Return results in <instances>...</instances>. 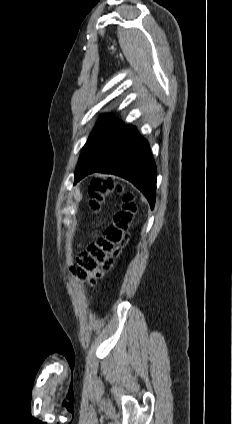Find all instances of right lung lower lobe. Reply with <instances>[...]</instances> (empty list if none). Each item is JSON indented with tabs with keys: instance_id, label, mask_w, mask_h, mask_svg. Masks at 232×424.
I'll return each instance as SVG.
<instances>
[{
	"instance_id": "right-lung-lower-lobe-1",
	"label": "right lung lower lobe",
	"mask_w": 232,
	"mask_h": 424,
	"mask_svg": "<svg viewBox=\"0 0 232 424\" xmlns=\"http://www.w3.org/2000/svg\"><path fill=\"white\" fill-rule=\"evenodd\" d=\"M94 172L120 176L132 182L147 198L151 209L155 204L156 165L149 144L135 127L124 126L115 131L74 183Z\"/></svg>"
}]
</instances>
